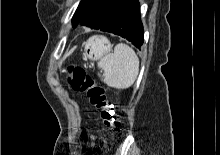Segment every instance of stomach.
<instances>
[{
    "label": "stomach",
    "instance_id": "obj_1",
    "mask_svg": "<svg viewBox=\"0 0 220 155\" xmlns=\"http://www.w3.org/2000/svg\"><path fill=\"white\" fill-rule=\"evenodd\" d=\"M85 49L89 58L99 59L111 51L112 45L104 36H93L86 42Z\"/></svg>",
    "mask_w": 220,
    "mask_h": 155
}]
</instances>
